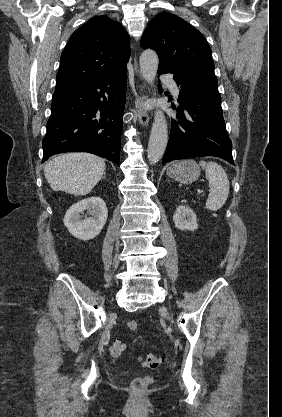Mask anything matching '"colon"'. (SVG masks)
<instances>
[{
    "label": "colon",
    "instance_id": "5ec220e1",
    "mask_svg": "<svg viewBox=\"0 0 282 417\" xmlns=\"http://www.w3.org/2000/svg\"><path fill=\"white\" fill-rule=\"evenodd\" d=\"M127 328L131 332H137L139 324L137 320H129L127 322ZM125 350V345L122 341L116 340L109 348V353L114 360L119 359ZM162 363L161 356L157 353H149L145 356L142 366L148 369H157ZM152 377L142 376L131 380V387L133 393H148L149 384L152 382ZM137 402L143 401L142 395L136 396Z\"/></svg>",
    "mask_w": 282,
    "mask_h": 417
}]
</instances>
